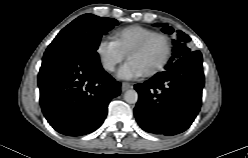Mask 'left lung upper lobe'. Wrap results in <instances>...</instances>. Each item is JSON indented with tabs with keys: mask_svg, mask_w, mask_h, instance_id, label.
<instances>
[{
	"mask_svg": "<svg viewBox=\"0 0 248 158\" xmlns=\"http://www.w3.org/2000/svg\"><path fill=\"white\" fill-rule=\"evenodd\" d=\"M155 26L162 27L164 33L173 36V54L165 66V69L170 67L178 58L191 53V49L188 47V43L190 42V37L188 35L180 30H178L177 33H174L173 28L167 24L157 23Z\"/></svg>",
	"mask_w": 248,
	"mask_h": 158,
	"instance_id": "1",
	"label": "left lung upper lobe"
}]
</instances>
